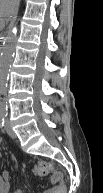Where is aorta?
<instances>
[{
  "label": "aorta",
  "instance_id": "aorta-1",
  "mask_svg": "<svg viewBox=\"0 0 103 193\" xmlns=\"http://www.w3.org/2000/svg\"><path fill=\"white\" fill-rule=\"evenodd\" d=\"M17 22L9 26L7 35L4 39V45L0 55V89L2 92L6 91L7 80L9 75V68L14 56L15 46L17 41ZM2 111L6 110V99L3 98L1 102Z\"/></svg>",
  "mask_w": 103,
  "mask_h": 193
}]
</instances>
